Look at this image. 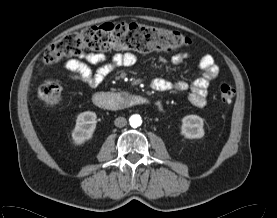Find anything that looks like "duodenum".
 Returning <instances> with one entry per match:
<instances>
[{"label": "duodenum", "mask_w": 277, "mask_h": 218, "mask_svg": "<svg viewBox=\"0 0 277 218\" xmlns=\"http://www.w3.org/2000/svg\"><path fill=\"white\" fill-rule=\"evenodd\" d=\"M94 104L109 111H120L133 106L144 105L148 100L141 96H136L128 93L120 95H112L106 92H98L93 98ZM162 109V106L159 105Z\"/></svg>", "instance_id": "410a0bca"}]
</instances>
